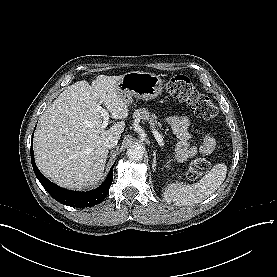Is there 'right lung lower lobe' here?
Segmentation results:
<instances>
[{
    "label": "right lung lower lobe",
    "instance_id": "right-lung-lower-lobe-1",
    "mask_svg": "<svg viewBox=\"0 0 277 277\" xmlns=\"http://www.w3.org/2000/svg\"><path fill=\"white\" fill-rule=\"evenodd\" d=\"M32 142H33V135H32ZM31 162L33 166L34 173L37 179L40 181L42 186L45 190L58 202L61 204L77 207V208H84V207H91L101 203L107 196L109 192V188L113 181V168L115 163L110 169V172L104 181V183L99 186L97 189L88 191V192H77V191H70L63 189L51 181H49L44 175L38 170L35 161H34V153H33V146H31Z\"/></svg>",
    "mask_w": 277,
    "mask_h": 277
}]
</instances>
